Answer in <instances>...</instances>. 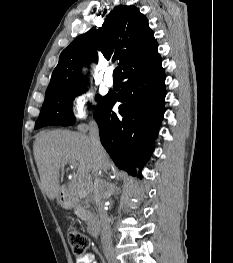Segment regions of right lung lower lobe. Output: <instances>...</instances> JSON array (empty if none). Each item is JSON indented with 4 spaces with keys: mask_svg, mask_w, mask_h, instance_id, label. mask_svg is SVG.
<instances>
[{
    "mask_svg": "<svg viewBox=\"0 0 233 263\" xmlns=\"http://www.w3.org/2000/svg\"><path fill=\"white\" fill-rule=\"evenodd\" d=\"M117 96L107 95L95 109L100 140L115 164L131 175L141 170L154 150L165 104V73L161 61L129 72ZM122 102L119 113L112 111ZM140 163H142L140 165Z\"/></svg>",
    "mask_w": 233,
    "mask_h": 263,
    "instance_id": "1",
    "label": "right lung lower lobe"
}]
</instances>
